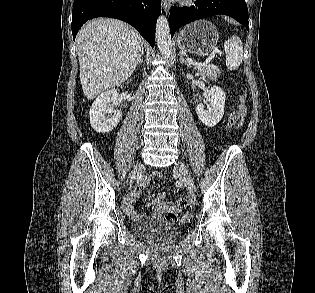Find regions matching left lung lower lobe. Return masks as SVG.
Wrapping results in <instances>:
<instances>
[{
  "mask_svg": "<svg viewBox=\"0 0 315 293\" xmlns=\"http://www.w3.org/2000/svg\"><path fill=\"white\" fill-rule=\"evenodd\" d=\"M217 14L231 16L248 29V9L245 0H197L192 7L171 8L169 15L171 37L181 26Z\"/></svg>",
  "mask_w": 315,
  "mask_h": 293,
  "instance_id": "1",
  "label": "left lung lower lobe"
}]
</instances>
